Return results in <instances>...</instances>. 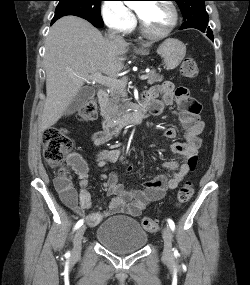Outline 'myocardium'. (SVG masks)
I'll list each match as a JSON object with an SVG mask.
<instances>
[{"instance_id":"1","label":"myocardium","mask_w":250,"mask_h":285,"mask_svg":"<svg viewBox=\"0 0 250 285\" xmlns=\"http://www.w3.org/2000/svg\"><path fill=\"white\" fill-rule=\"evenodd\" d=\"M165 5H167L172 13V21L171 24L169 25V27L163 32V33H152L150 31L147 30V28L145 27L141 17L138 14V22H139V29L141 34L148 38V39H152V40H162L167 38L173 31L174 29L177 27L178 25V21H179V14H178V10L176 5L171 1V0H164L163 2Z\"/></svg>"}]
</instances>
